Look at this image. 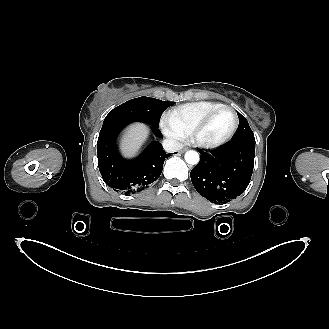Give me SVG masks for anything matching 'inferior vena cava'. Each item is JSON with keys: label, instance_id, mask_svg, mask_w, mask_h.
Returning <instances> with one entry per match:
<instances>
[{"label": "inferior vena cava", "instance_id": "inferior-vena-cava-1", "mask_svg": "<svg viewBox=\"0 0 329 329\" xmlns=\"http://www.w3.org/2000/svg\"><path fill=\"white\" fill-rule=\"evenodd\" d=\"M163 148L166 152L173 153L183 148V144L179 141L172 139H165L162 143Z\"/></svg>", "mask_w": 329, "mask_h": 329}]
</instances>
